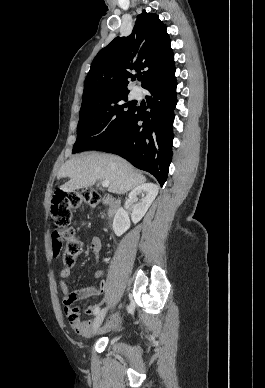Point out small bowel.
Instances as JSON below:
<instances>
[{"instance_id": "obj_1", "label": "small bowel", "mask_w": 265, "mask_h": 388, "mask_svg": "<svg viewBox=\"0 0 265 388\" xmlns=\"http://www.w3.org/2000/svg\"><path fill=\"white\" fill-rule=\"evenodd\" d=\"M102 243L99 237H92L90 240V248L93 253V256L95 260L98 262L99 261V254L101 251ZM70 275V269L65 268L61 271L60 276L61 278H66ZM103 276V271L98 270L96 272V277L99 279V282L90 286H86L83 288H80L78 290H75L73 292H70L67 284L65 282H61L60 287L63 295V302L65 305V312L67 315L70 317L71 315H75L77 319L75 321H72L70 318V323L72 328L78 333L79 335L82 336H87L90 333L91 326L93 325V319H88V320H80L78 317V312L77 309L73 308L72 305L75 301L78 299H89L92 298L96 295H101L103 294L106 283L104 280H102ZM98 307L94 304H89L86 307V313L87 314H92L95 310V308ZM118 319V315H114L107 325L108 327L114 326V322Z\"/></svg>"}]
</instances>
